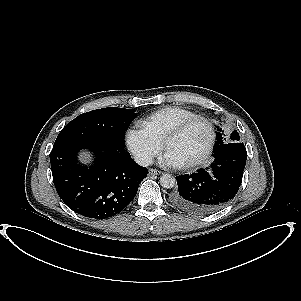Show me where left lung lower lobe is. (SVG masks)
Instances as JSON below:
<instances>
[{"mask_svg":"<svg viewBox=\"0 0 301 301\" xmlns=\"http://www.w3.org/2000/svg\"><path fill=\"white\" fill-rule=\"evenodd\" d=\"M209 169L177 177L178 188L171 202L178 208L196 214H209L226 206L242 182L247 159L243 143L226 144L214 152Z\"/></svg>","mask_w":301,"mask_h":301,"instance_id":"1","label":"left lung lower lobe"}]
</instances>
